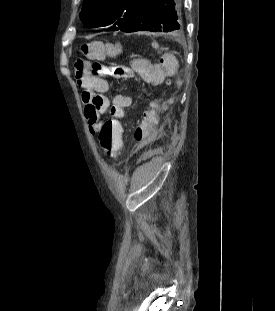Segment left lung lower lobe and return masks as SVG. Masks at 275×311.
<instances>
[{
    "label": "left lung lower lobe",
    "instance_id": "left-lung-lower-lobe-1",
    "mask_svg": "<svg viewBox=\"0 0 275 311\" xmlns=\"http://www.w3.org/2000/svg\"><path fill=\"white\" fill-rule=\"evenodd\" d=\"M119 30L179 32L182 30V24L178 18L177 3L174 0H143Z\"/></svg>",
    "mask_w": 275,
    "mask_h": 311
}]
</instances>
